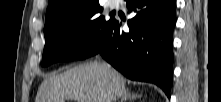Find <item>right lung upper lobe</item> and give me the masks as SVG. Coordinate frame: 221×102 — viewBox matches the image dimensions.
Returning <instances> with one entry per match:
<instances>
[{
	"instance_id": "cb5924a9",
	"label": "right lung upper lobe",
	"mask_w": 221,
	"mask_h": 102,
	"mask_svg": "<svg viewBox=\"0 0 221 102\" xmlns=\"http://www.w3.org/2000/svg\"><path fill=\"white\" fill-rule=\"evenodd\" d=\"M98 0H49L46 11V20L50 19L57 12L74 6H81Z\"/></svg>"
}]
</instances>
